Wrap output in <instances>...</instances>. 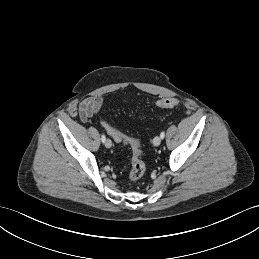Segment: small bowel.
I'll use <instances>...</instances> for the list:
<instances>
[{
    "mask_svg": "<svg viewBox=\"0 0 259 259\" xmlns=\"http://www.w3.org/2000/svg\"><path fill=\"white\" fill-rule=\"evenodd\" d=\"M102 106V99L99 97H92L86 99L81 105V117L84 121L89 120L98 113Z\"/></svg>",
    "mask_w": 259,
    "mask_h": 259,
    "instance_id": "small-bowel-1",
    "label": "small bowel"
}]
</instances>
